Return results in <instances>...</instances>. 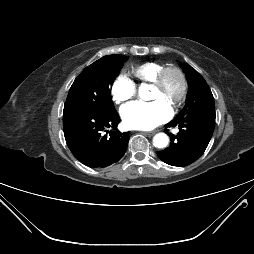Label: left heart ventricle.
<instances>
[{
    "mask_svg": "<svg viewBox=\"0 0 254 254\" xmlns=\"http://www.w3.org/2000/svg\"><path fill=\"white\" fill-rule=\"evenodd\" d=\"M179 93V81L174 74H167L164 86L161 89L152 87L149 93L150 100H157L163 105L172 108Z\"/></svg>",
    "mask_w": 254,
    "mask_h": 254,
    "instance_id": "1",
    "label": "left heart ventricle"
}]
</instances>
